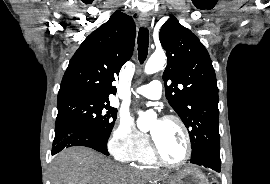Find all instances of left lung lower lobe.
I'll use <instances>...</instances> for the list:
<instances>
[{
	"label": "left lung lower lobe",
	"mask_w": 270,
	"mask_h": 184,
	"mask_svg": "<svg viewBox=\"0 0 270 184\" xmlns=\"http://www.w3.org/2000/svg\"><path fill=\"white\" fill-rule=\"evenodd\" d=\"M190 162L220 172V147H204L199 151L196 157L191 158Z\"/></svg>",
	"instance_id": "left-lung-lower-lobe-1"
}]
</instances>
